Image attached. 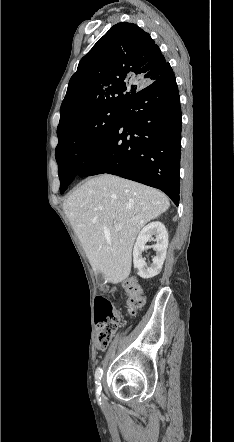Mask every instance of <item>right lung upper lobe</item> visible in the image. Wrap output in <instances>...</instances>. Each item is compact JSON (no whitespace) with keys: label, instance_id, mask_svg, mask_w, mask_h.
Instances as JSON below:
<instances>
[{"label":"right lung upper lobe","instance_id":"cb5924a9","mask_svg":"<svg viewBox=\"0 0 234 442\" xmlns=\"http://www.w3.org/2000/svg\"><path fill=\"white\" fill-rule=\"evenodd\" d=\"M169 65L150 35L136 24L114 25L79 62L60 108V137L97 110L122 106Z\"/></svg>","mask_w":234,"mask_h":442}]
</instances>
